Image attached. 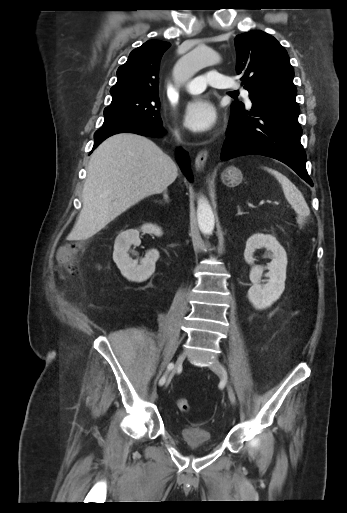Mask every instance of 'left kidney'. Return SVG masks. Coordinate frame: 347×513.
Returning <instances> with one entry per match:
<instances>
[{"label": "left kidney", "instance_id": "1", "mask_svg": "<svg viewBox=\"0 0 347 513\" xmlns=\"http://www.w3.org/2000/svg\"><path fill=\"white\" fill-rule=\"evenodd\" d=\"M266 248L273 255L272 261L267 265L269 277L266 284H261L264 267L254 265L253 254L256 249ZM246 263L252 265L250 281L252 286L248 290V299L256 309H266L279 299L285 289L287 254L277 239L269 234H253L246 242L244 251Z\"/></svg>", "mask_w": 347, "mask_h": 513}]
</instances>
